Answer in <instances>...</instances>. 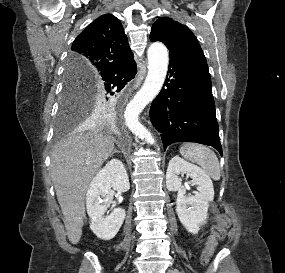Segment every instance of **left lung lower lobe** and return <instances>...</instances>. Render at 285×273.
<instances>
[{"mask_svg":"<svg viewBox=\"0 0 285 273\" xmlns=\"http://www.w3.org/2000/svg\"><path fill=\"white\" fill-rule=\"evenodd\" d=\"M164 86L150 108L153 126L161 133L164 149L174 142H196L222 155L209 72L170 54Z\"/></svg>","mask_w":285,"mask_h":273,"instance_id":"0a47b994","label":"left lung lower lobe"}]
</instances>
